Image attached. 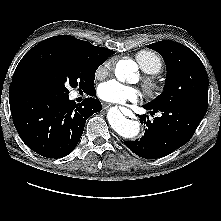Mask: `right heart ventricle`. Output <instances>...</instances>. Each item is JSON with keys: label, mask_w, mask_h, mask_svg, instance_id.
Segmentation results:
<instances>
[{"label": "right heart ventricle", "mask_w": 221, "mask_h": 221, "mask_svg": "<svg viewBox=\"0 0 221 221\" xmlns=\"http://www.w3.org/2000/svg\"><path fill=\"white\" fill-rule=\"evenodd\" d=\"M135 58L141 69L147 74H157L162 69V61L154 52L142 50L136 54Z\"/></svg>", "instance_id": "1"}]
</instances>
